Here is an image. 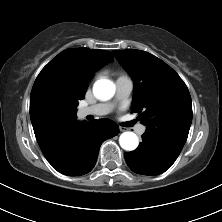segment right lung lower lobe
<instances>
[{
	"label": "right lung lower lobe",
	"mask_w": 222,
	"mask_h": 222,
	"mask_svg": "<svg viewBox=\"0 0 222 222\" xmlns=\"http://www.w3.org/2000/svg\"><path fill=\"white\" fill-rule=\"evenodd\" d=\"M119 132L118 125L108 119L80 123L62 129L54 142L42 150L48 162L60 173L80 176L95 166L100 145Z\"/></svg>",
	"instance_id": "1"
}]
</instances>
